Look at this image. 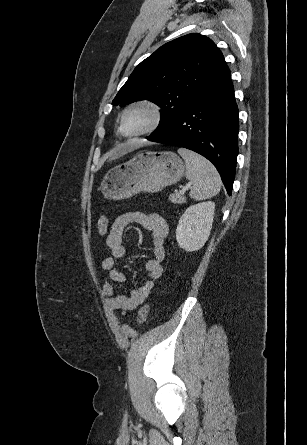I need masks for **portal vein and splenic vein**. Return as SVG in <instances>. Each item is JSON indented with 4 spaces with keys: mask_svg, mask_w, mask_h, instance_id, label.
<instances>
[{
    "mask_svg": "<svg viewBox=\"0 0 307 445\" xmlns=\"http://www.w3.org/2000/svg\"><path fill=\"white\" fill-rule=\"evenodd\" d=\"M192 182H187V184H185V186H182V192H186V190H188V188H190Z\"/></svg>",
    "mask_w": 307,
    "mask_h": 445,
    "instance_id": "obj_1",
    "label": "portal vein and splenic vein"
}]
</instances>
